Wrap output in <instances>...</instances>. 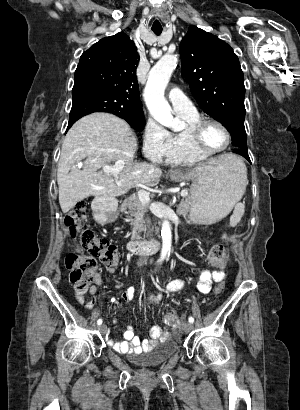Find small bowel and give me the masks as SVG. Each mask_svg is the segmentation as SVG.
I'll return each mask as SVG.
<instances>
[{
  "label": "small bowel",
  "mask_w": 300,
  "mask_h": 410,
  "mask_svg": "<svg viewBox=\"0 0 300 410\" xmlns=\"http://www.w3.org/2000/svg\"><path fill=\"white\" fill-rule=\"evenodd\" d=\"M226 237V236H225ZM223 268V265H218ZM225 278V272L223 270H204L199 277L197 283V289L202 294H208L213 283L221 282ZM103 280L100 276H97L93 283L87 288L80 289L76 292V300L79 304H85L88 310H92L97 302L99 293L97 286L102 284ZM183 287V282L181 280L175 279L168 283V290L170 292H177ZM135 290L133 287H129L123 294L122 299L129 301L134 297ZM91 295L92 299L86 300V296ZM149 302L155 303L158 300L157 296L150 293L146 295ZM112 302L116 303L117 298L113 297ZM165 338V332L160 326H153L149 332V338L141 340L135 334L133 326L128 325L124 332V340H112L109 339L108 342L112 348L116 351L122 353H140L143 351H148L152 349L156 344L163 341Z\"/></svg>",
  "instance_id": "c3829d8e"
}]
</instances>
